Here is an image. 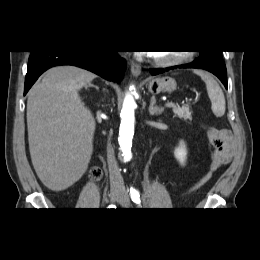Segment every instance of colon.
<instances>
[{
    "label": "colon",
    "instance_id": "obj_1",
    "mask_svg": "<svg viewBox=\"0 0 260 260\" xmlns=\"http://www.w3.org/2000/svg\"><path fill=\"white\" fill-rule=\"evenodd\" d=\"M101 175V170L99 168H94L92 171H91V176L93 178H99Z\"/></svg>",
    "mask_w": 260,
    "mask_h": 260
}]
</instances>
